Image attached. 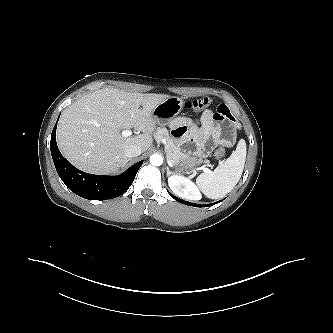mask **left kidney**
Returning a JSON list of instances; mask_svg holds the SVG:
<instances>
[{"label":"left kidney","instance_id":"1","mask_svg":"<svg viewBox=\"0 0 333 333\" xmlns=\"http://www.w3.org/2000/svg\"><path fill=\"white\" fill-rule=\"evenodd\" d=\"M170 189L178 196L189 200H200L201 193L195 184L188 178L173 175L168 178Z\"/></svg>","mask_w":333,"mask_h":333}]
</instances>
